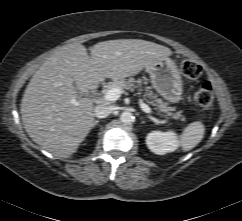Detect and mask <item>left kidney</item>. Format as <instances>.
<instances>
[{
	"label": "left kidney",
	"mask_w": 242,
	"mask_h": 221,
	"mask_svg": "<svg viewBox=\"0 0 242 221\" xmlns=\"http://www.w3.org/2000/svg\"><path fill=\"white\" fill-rule=\"evenodd\" d=\"M146 144L153 153L163 155L175 151L178 147V140L172 131H153L147 135Z\"/></svg>",
	"instance_id": "left-kidney-1"
}]
</instances>
